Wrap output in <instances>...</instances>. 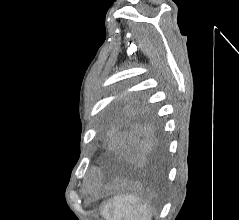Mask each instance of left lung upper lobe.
<instances>
[{"mask_svg": "<svg viewBox=\"0 0 239 220\" xmlns=\"http://www.w3.org/2000/svg\"><path fill=\"white\" fill-rule=\"evenodd\" d=\"M139 101L140 99L138 97L126 99L122 102V108L133 112H144L146 109L142 104L140 105Z\"/></svg>", "mask_w": 239, "mask_h": 220, "instance_id": "left-lung-upper-lobe-1", "label": "left lung upper lobe"}]
</instances>
